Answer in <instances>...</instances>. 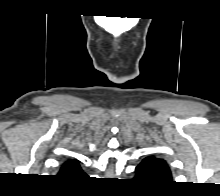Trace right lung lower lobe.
Returning a JSON list of instances; mask_svg holds the SVG:
<instances>
[{"mask_svg":"<svg viewBox=\"0 0 220 196\" xmlns=\"http://www.w3.org/2000/svg\"><path fill=\"white\" fill-rule=\"evenodd\" d=\"M84 176H85V175H83V176H80L79 178H84ZM79 178H78V179H79Z\"/></svg>","mask_w":220,"mask_h":196,"instance_id":"right-lung-lower-lobe-1","label":"right lung lower lobe"}]
</instances>
